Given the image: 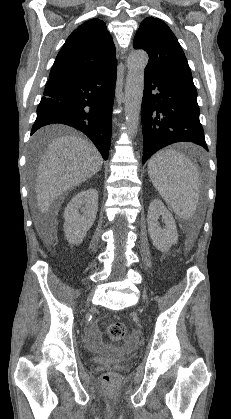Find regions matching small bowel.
Here are the masks:
<instances>
[{
	"instance_id": "1",
	"label": "small bowel",
	"mask_w": 231,
	"mask_h": 419,
	"mask_svg": "<svg viewBox=\"0 0 231 419\" xmlns=\"http://www.w3.org/2000/svg\"><path fill=\"white\" fill-rule=\"evenodd\" d=\"M98 334L99 329L97 324H91L90 327L87 330L86 338H87V346L92 350L98 349ZM131 342H135L136 338L133 336L130 339Z\"/></svg>"
}]
</instances>
